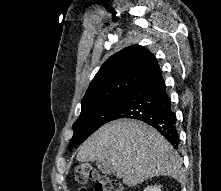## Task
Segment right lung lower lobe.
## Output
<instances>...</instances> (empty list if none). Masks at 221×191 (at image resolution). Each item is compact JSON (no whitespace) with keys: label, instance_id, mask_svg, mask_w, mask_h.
I'll return each mask as SVG.
<instances>
[{"label":"right lung lower lobe","instance_id":"98d812e1","mask_svg":"<svg viewBox=\"0 0 221 191\" xmlns=\"http://www.w3.org/2000/svg\"><path fill=\"white\" fill-rule=\"evenodd\" d=\"M121 118L137 119L151 125L178 149L180 139L176 116L160 70L134 86L123 97L109 121Z\"/></svg>","mask_w":221,"mask_h":191}]
</instances>
